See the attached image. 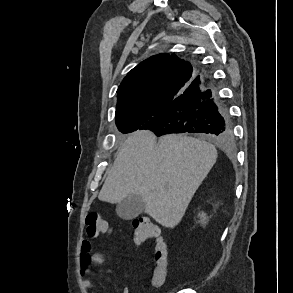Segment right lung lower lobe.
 Here are the masks:
<instances>
[{"mask_svg":"<svg viewBox=\"0 0 293 293\" xmlns=\"http://www.w3.org/2000/svg\"><path fill=\"white\" fill-rule=\"evenodd\" d=\"M204 84L197 76L167 110L151 118L139 129H150L158 136L183 132L205 133L220 143L228 144L232 140L228 111Z\"/></svg>","mask_w":293,"mask_h":293,"instance_id":"1","label":"right lung lower lobe"}]
</instances>
